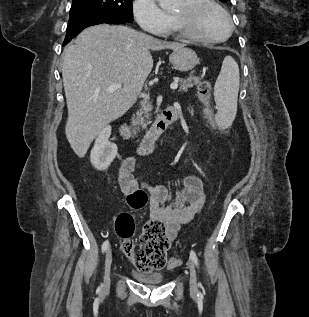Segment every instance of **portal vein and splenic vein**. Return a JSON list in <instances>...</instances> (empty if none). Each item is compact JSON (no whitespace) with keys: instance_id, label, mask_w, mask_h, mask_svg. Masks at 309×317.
<instances>
[{"instance_id":"18ae733b","label":"portal vein and splenic vein","mask_w":309,"mask_h":317,"mask_svg":"<svg viewBox=\"0 0 309 317\" xmlns=\"http://www.w3.org/2000/svg\"><path fill=\"white\" fill-rule=\"evenodd\" d=\"M119 87H121L120 84L114 83V84H112L111 86H109V87L107 88V91L113 92V91L117 90ZM170 88H171L172 90H176V89L178 88V82H177V81H174L173 83H171ZM141 97H143L144 99H148V98H149V95H147V94H145V93H142V94H141Z\"/></svg>"}]
</instances>
